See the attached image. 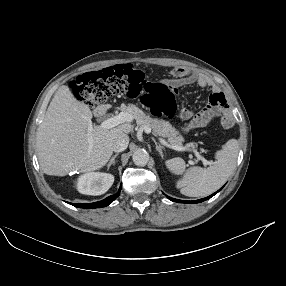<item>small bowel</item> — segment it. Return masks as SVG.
Wrapping results in <instances>:
<instances>
[{
    "label": "small bowel",
    "mask_w": 286,
    "mask_h": 286,
    "mask_svg": "<svg viewBox=\"0 0 286 286\" xmlns=\"http://www.w3.org/2000/svg\"><path fill=\"white\" fill-rule=\"evenodd\" d=\"M171 76L172 78L168 81V84L174 94H178V88L189 84H196L201 88H212V94L209 97L207 105L195 118L202 116H211L213 118L218 114L226 117L229 114V106L224 94L213 85L205 74L179 66L172 69ZM210 113H213V115ZM193 115L194 110L181 103L179 117L181 119H191Z\"/></svg>",
    "instance_id": "small-bowel-1"
}]
</instances>
